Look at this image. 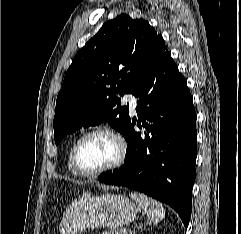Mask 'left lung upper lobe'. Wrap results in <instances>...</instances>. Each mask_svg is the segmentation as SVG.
<instances>
[{
	"label": "left lung upper lobe",
	"instance_id": "obj_1",
	"mask_svg": "<svg viewBox=\"0 0 241 234\" xmlns=\"http://www.w3.org/2000/svg\"><path fill=\"white\" fill-rule=\"evenodd\" d=\"M165 48L162 36L143 19L121 14L104 23L78 51L65 75L56 100L55 143L103 121L125 137L128 106L121 107L117 95L133 94Z\"/></svg>",
	"mask_w": 241,
	"mask_h": 234
}]
</instances>
